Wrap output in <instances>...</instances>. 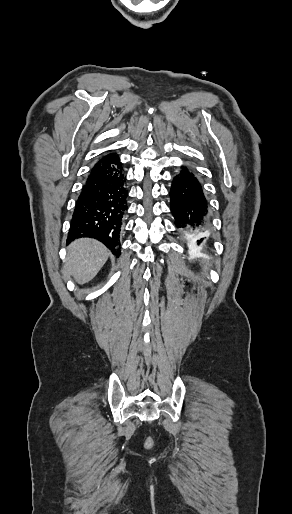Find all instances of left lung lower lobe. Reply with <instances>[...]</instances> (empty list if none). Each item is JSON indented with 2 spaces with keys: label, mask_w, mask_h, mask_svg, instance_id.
Masks as SVG:
<instances>
[{
  "label": "left lung lower lobe",
  "mask_w": 292,
  "mask_h": 514,
  "mask_svg": "<svg viewBox=\"0 0 292 514\" xmlns=\"http://www.w3.org/2000/svg\"><path fill=\"white\" fill-rule=\"evenodd\" d=\"M170 209L182 238L189 244H209L210 214L202 185L195 173L182 166L170 188Z\"/></svg>",
  "instance_id": "0a47b994"
}]
</instances>
